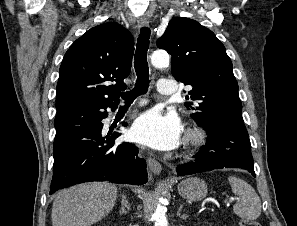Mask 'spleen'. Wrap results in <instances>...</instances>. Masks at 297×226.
Listing matches in <instances>:
<instances>
[{"mask_svg":"<svg viewBox=\"0 0 297 226\" xmlns=\"http://www.w3.org/2000/svg\"><path fill=\"white\" fill-rule=\"evenodd\" d=\"M231 189L238 200L233 207L234 213L242 219L256 220L261 214V200L254 188L243 179L229 176Z\"/></svg>","mask_w":297,"mask_h":226,"instance_id":"1","label":"spleen"}]
</instances>
